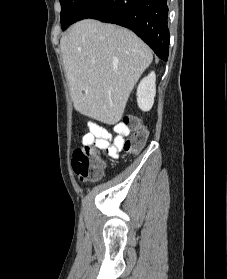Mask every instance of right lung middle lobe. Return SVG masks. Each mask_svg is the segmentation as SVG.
Here are the masks:
<instances>
[{
    "label": "right lung middle lobe",
    "mask_w": 227,
    "mask_h": 279,
    "mask_svg": "<svg viewBox=\"0 0 227 279\" xmlns=\"http://www.w3.org/2000/svg\"><path fill=\"white\" fill-rule=\"evenodd\" d=\"M84 0H60L61 3V28L65 30L70 24Z\"/></svg>",
    "instance_id": "1"
}]
</instances>
